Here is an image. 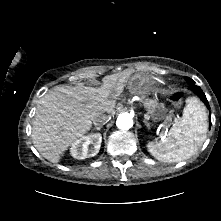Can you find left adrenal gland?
I'll use <instances>...</instances> for the list:
<instances>
[{
  "label": "left adrenal gland",
  "instance_id": "1",
  "mask_svg": "<svg viewBox=\"0 0 221 221\" xmlns=\"http://www.w3.org/2000/svg\"><path fill=\"white\" fill-rule=\"evenodd\" d=\"M143 122L145 123V125L147 126L148 129H150V123L147 120H143Z\"/></svg>",
  "mask_w": 221,
  "mask_h": 221
}]
</instances>
